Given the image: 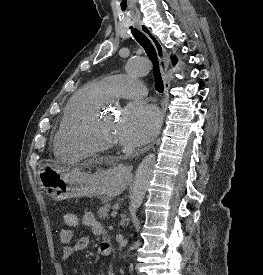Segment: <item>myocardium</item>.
Segmentation results:
<instances>
[{"label": "myocardium", "instance_id": "1", "mask_svg": "<svg viewBox=\"0 0 263 275\" xmlns=\"http://www.w3.org/2000/svg\"><path fill=\"white\" fill-rule=\"evenodd\" d=\"M104 110V106L96 109L73 132L77 144L92 153L108 152L118 148L117 143L105 141L99 136V124Z\"/></svg>", "mask_w": 263, "mask_h": 275}]
</instances>
